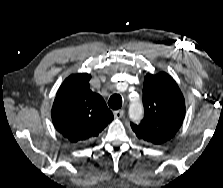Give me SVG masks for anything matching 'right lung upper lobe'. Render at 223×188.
Here are the masks:
<instances>
[{"label": "right lung upper lobe", "instance_id": "cb5924a9", "mask_svg": "<svg viewBox=\"0 0 223 188\" xmlns=\"http://www.w3.org/2000/svg\"><path fill=\"white\" fill-rule=\"evenodd\" d=\"M91 75L72 74L60 86L52 107V121L70 143L82 145L113 120L103 98L90 90Z\"/></svg>", "mask_w": 223, "mask_h": 188}]
</instances>
